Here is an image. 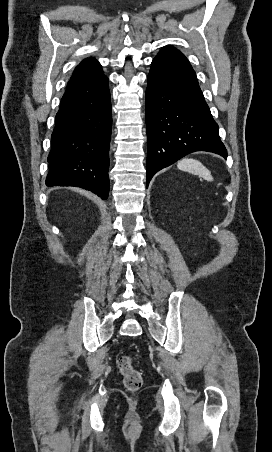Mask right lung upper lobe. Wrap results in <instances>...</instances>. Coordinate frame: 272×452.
<instances>
[{
  "instance_id": "cb5924a9",
  "label": "right lung upper lobe",
  "mask_w": 272,
  "mask_h": 452,
  "mask_svg": "<svg viewBox=\"0 0 272 452\" xmlns=\"http://www.w3.org/2000/svg\"><path fill=\"white\" fill-rule=\"evenodd\" d=\"M104 76L99 62L94 58H86L75 68L67 89L95 83Z\"/></svg>"
}]
</instances>
